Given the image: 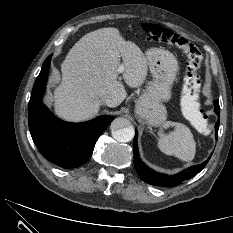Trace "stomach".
I'll return each instance as SVG.
<instances>
[{
  "mask_svg": "<svg viewBox=\"0 0 233 233\" xmlns=\"http://www.w3.org/2000/svg\"><path fill=\"white\" fill-rule=\"evenodd\" d=\"M146 59L152 80L136 100L135 114L140 123L157 127L167 119V110L163 102L171 98L178 62L171 52L161 48L148 49Z\"/></svg>",
  "mask_w": 233,
  "mask_h": 233,
  "instance_id": "0dacf381",
  "label": "stomach"
}]
</instances>
